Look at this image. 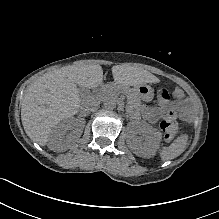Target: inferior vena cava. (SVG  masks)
Returning a JSON list of instances; mask_svg holds the SVG:
<instances>
[{
  "instance_id": "602c4592",
  "label": "inferior vena cava",
  "mask_w": 219,
  "mask_h": 219,
  "mask_svg": "<svg viewBox=\"0 0 219 219\" xmlns=\"http://www.w3.org/2000/svg\"><path fill=\"white\" fill-rule=\"evenodd\" d=\"M82 109L85 111V113H89L90 111H94L96 109L95 108V101L92 98H85L82 101Z\"/></svg>"
}]
</instances>
